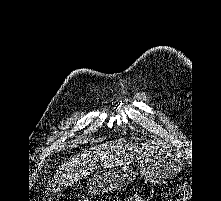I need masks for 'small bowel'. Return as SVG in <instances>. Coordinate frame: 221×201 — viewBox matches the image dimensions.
Listing matches in <instances>:
<instances>
[{
    "label": "small bowel",
    "instance_id": "small-bowel-1",
    "mask_svg": "<svg viewBox=\"0 0 221 201\" xmlns=\"http://www.w3.org/2000/svg\"><path fill=\"white\" fill-rule=\"evenodd\" d=\"M127 201H146V200L143 198V196L136 194V195L130 196L127 199Z\"/></svg>",
    "mask_w": 221,
    "mask_h": 201
}]
</instances>
